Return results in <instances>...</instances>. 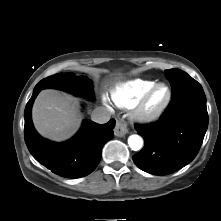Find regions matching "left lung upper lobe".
Listing matches in <instances>:
<instances>
[{"instance_id": "1", "label": "left lung upper lobe", "mask_w": 221, "mask_h": 221, "mask_svg": "<svg viewBox=\"0 0 221 221\" xmlns=\"http://www.w3.org/2000/svg\"><path fill=\"white\" fill-rule=\"evenodd\" d=\"M164 74L171 84L172 96L180 93L184 89L200 85L186 72L179 69L165 70Z\"/></svg>"}]
</instances>
